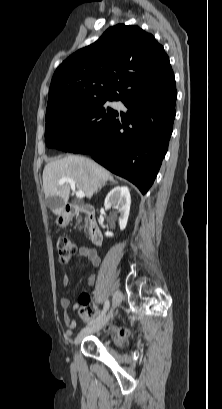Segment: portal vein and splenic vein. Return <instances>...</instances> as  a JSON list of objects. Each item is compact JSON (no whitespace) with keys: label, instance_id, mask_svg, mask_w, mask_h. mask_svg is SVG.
<instances>
[{"label":"portal vein and splenic vein","instance_id":"1","mask_svg":"<svg viewBox=\"0 0 222 409\" xmlns=\"http://www.w3.org/2000/svg\"><path fill=\"white\" fill-rule=\"evenodd\" d=\"M64 183H68L72 189L73 192H76V196L77 198H84L85 197V193L82 190H78L76 191L75 188V181L72 178H61L59 180V185H63Z\"/></svg>","mask_w":222,"mask_h":409}]
</instances>
